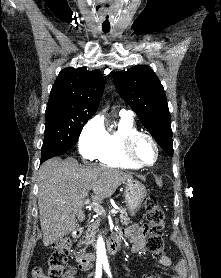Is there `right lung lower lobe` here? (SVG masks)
Wrapping results in <instances>:
<instances>
[{"instance_id":"1","label":"right lung lower lobe","mask_w":221,"mask_h":278,"mask_svg":"<svg viewBox=\"0 0 221 278\" xmlns=\"http://www.w3.org/2000/svg\"><path fill=\"white\" fill-rule=\"evenodd\" d=\"M66 152H67V151H66ZM63 153H65V152H63ZM63 153H60V154H58V155H61V154H63ZM58 155H56V156H58ZM53 157H54V156H53ZM49 158H51V157L42 158L40 163H43L44 161H46V160L49 159Z\"/></svg>"}]
</instances>
